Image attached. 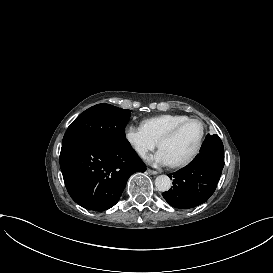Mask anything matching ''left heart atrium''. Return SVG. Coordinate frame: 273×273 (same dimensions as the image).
<instances>
[{
	"mask_svg": "<svg viewBox=\"0 0 273 273\" xmlns=\"http://www.w3.org/2000/svg\"><path fill=\"white\" fill-rule=\"evenodd\" d=\"M147 161L152 165H171L172 161L163 148H161L157 153L151 155L147 158Z\"/></svg>",
	"mask_w": 273,
	"mask_h": 273,
	"instance_id": "39dd6f15",
	"label": "left heart atrium"
}]
</instances>
